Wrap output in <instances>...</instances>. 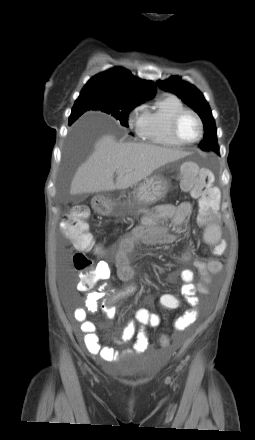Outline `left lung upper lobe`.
Masks as SVG:
<instances>
[{"instance_id":"5c2ea615","label":"left lung upper lobe","mask_w":255,"mask_h":440,"mask_svg":"<svg viewBox=\"0 0 255 440\" xmlns=\"http://www.w3.org/2000/svg\"><path fill=\"white\" fill-rule=\"evenodd\" d=\"M156 84L165 91L175 93L198 113L204 126V138L200 142L199 147L204 151L212 150L219 154L215 121L203 94L195 86L182 81L177 76H172L165 81L158 80Z\"/></svg>"}]
</instances>
